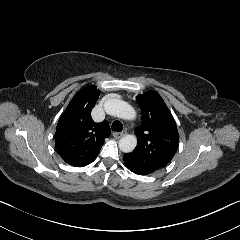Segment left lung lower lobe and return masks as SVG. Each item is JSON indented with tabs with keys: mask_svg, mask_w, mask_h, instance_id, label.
I'll list each match as a JSON object with an SVG mask.
<instances>
[{
	"mask_svg": "<svg viewBox=\"0 0 240 240\" xmlns=\"http://www.w3.org/2000/svg\"><path fill=\"white\" fill-rule=\"evenodd\" d=\"M125 164H126L127 168L130 171H132L133 173H136V174H139V175H148V174L152 173V172H148L147 170H144V169H141V168H133L130 165H128L126 162H125Z\"/></svg>",
	"mask_w": 240,
	"mask_h": 240,
	"instance_id": "obj_1",
	"label": "left lung lower lobe"
}]
</instances>
